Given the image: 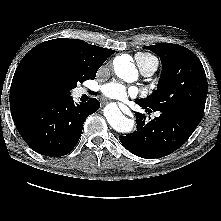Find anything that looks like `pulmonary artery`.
Returning <instances> with one entry per match:
<instances>
[{
    "label": "pulmonary artery",
    "mask_w": 221,
    "mask_h": 221,
    "mask_svg": "<svg viewBox=\"0 0 221 221\" xmlns=\"http://www.w3.org/2000/svg\"><path fill=\"white\" fill-rule=\"evenodd\" d=\"M137 64L140 68V72L142 73V75L146 77L153 75V73L157 70L158 67V62H149L145 64H140L139 62H137Z\"/></svg>",
    "instance_id": "e3ab8cb5"
}]
</instances>
